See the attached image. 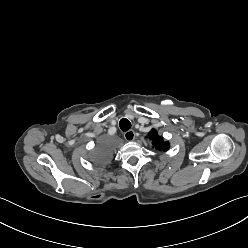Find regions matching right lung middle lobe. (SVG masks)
Here are the masks:
<instances>
[{"instance_id":"obj_1","label":"right lung middle lobe","mask_w":248,"mask_h":248,"mask_svg":"<svg viewBox=\"0 0 248 248\" xmlns=\"http://www.w3.org/2000/svg\"><path fill=\"white\" fill-rule=\"evenodd\" d=\"M111 157V152L109 147L101 143L99 146L90 153L89 158L95 164H103L106 163Z\"/></svg>"}]
</instances>
